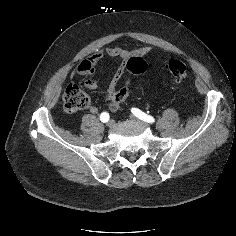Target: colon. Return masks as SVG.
<instances>
[{
    "instance_id": "5ec220e1",
    "label": "colon",
    "mask_w": 236,
    "mask_h": 236,
    "mask_svg": "<svg viewBox=\"0 0 236 236\" xmlns=\"http://www.w3.org/2000/svg\"><path fill=\"white\" fill-rule=\"evenodd\" d=\"M127 69L132 74H142L147 69V62L141 57H131L127 62ZM165 69L173 76L177 83H184L187 78L186 65L176 59L166 62ZM131 92L130 81L118 90L110 100V108L113 111L118 110L122 102ZM64 108L68 113H75L86 108L89 104L88 95L77 85L70 84L63 94Z\"/></svg>"
}]
</instances>
